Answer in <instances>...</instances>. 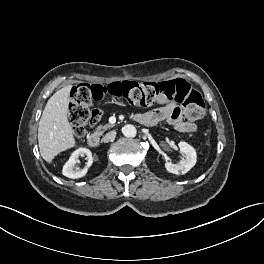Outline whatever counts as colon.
I'll use <instances>...</instances> for the list:
<instances>
[{
    "mask_svg": "<svg viewBox=\"0 0 264 264\" xmlns=\"http://www.w3.org/2000/svg\"><path fill=\"white\" fill-rule=\"evenodd\" d=\"M106 97L122 99L133 106L146 107L175 101L183 108L186 119L198 120L205 114V103L201 94L183 79L159 83L117 81L106 86L80 84L73 88L69 107V118L75 136L81 138L88 125L99 120V113L91 106Z\"/></svg>",
    "mask_w": 264,
    "mask_h": 264,
    "instance_id": "obj_1",
    "label": "colon"
}]
</instances>
